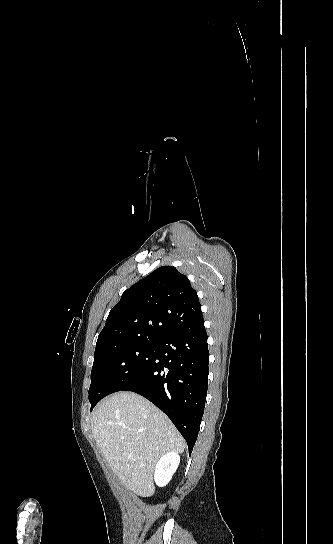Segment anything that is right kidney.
<instances>
[{
  "label": "right kidney",
  "mask_w": 333,
  "mask_h": 544,
  "mask_svg": "<svg viewBox=\"0 0 333 544\" xmlns=\"http://www.w3.org/2000/svg\"><path fill=\"white\" fill-rule=\"evenodd\" d=\"M180 463V457L176 452H169L162 456L156 464L154 480L157 486L164 487L172 479Z\"/></svg>",
  "instance_id": "ca27d5eb"
}]
</instances>
